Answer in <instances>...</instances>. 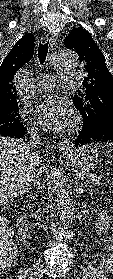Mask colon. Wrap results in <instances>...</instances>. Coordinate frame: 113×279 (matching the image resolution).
Listing matches in <instances>:
<instances>
[{
    "mask_svg": "<svg viewBox=\"0 0 113 279\" xmlns=\"http://www.w3.org/2000/svg\"><path fill=\"white\" fill-rule=\"evenodd\" d=\"M14 236L6 218L0 216V262L10 259L14 253Z\"/></svg>",
    "mask_w": 113,
    "mask_h": 279,
    "instance_id": "1",
    "label": "colon"
}]
</instances>
